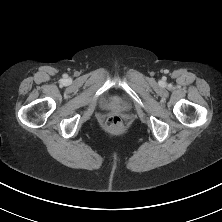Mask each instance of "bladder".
Returning a JSON list of instances; mask_svg holds the SVG:
<instances>
[{"label": "bladder", "instance_id": "1", "mask_svg": "<svg viewBox=\"0 0 222 222\" xmlns=\"http://www.w3.org/2000/svg\"><path fill=\"white\" fill-rule=\"evenodd\" d=\"M106 105L111 106V105H116L120 108H127V104L125 102H112L109 99L105 100Z\"/></svg>", "mask_w": 222, "mask_h": 222}]
</instances>
